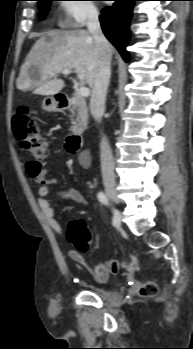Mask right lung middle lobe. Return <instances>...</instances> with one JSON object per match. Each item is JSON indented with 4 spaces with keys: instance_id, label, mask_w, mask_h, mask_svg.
Masks as SVG:
<instances>
[{
    "instance_id": "dd1d6c3e",
    "label": "right lung middle lobe",
    "mask_w": 193,
    "mask_h": 349,
    "mask_svg": "<svg viewBox=\"0 0 193 349\" xmlns=\"http://www.w3.org/2000/svg\"><path fill=\"white\" fill-rule=\"evenodd\" d=\"M39 1V10H40V19H44L47 12H48V9L50 7V3L51 1L53 0H38Z\"/></svg>"
}]
</instances>
